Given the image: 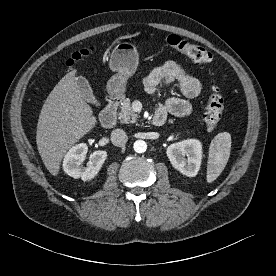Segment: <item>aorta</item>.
I'll return each mask as SVG.
<instances>
[{"label": "aorta", "mask_w": 276, "mask_h": 276, "mask_svg": "<svg viewBox=\"0 0 276 276\" xmlns=\"http://www.w3.org/2000/svg\"><path fill=\"white\" fill-rule=\"evenodd\" d=\"M133 148L136 153H144L147 150V143L143 140H137L134 142Z\"/></svg>", "instance_id": "aorta-1"}]
</instances>
